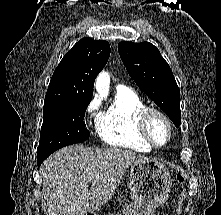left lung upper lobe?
I'll use <instances>...</instances> for the list:
<instances>
[{
	"label": "left lung upper lobe",
	"instance_id": "obj_1",
	"mask_svg": "<svg viewBox=\"0 0 221 215\" xmlns=\"http://www.w3.org/2000/svg\"><path fill=\"white\" fill-rule=\"evenodd\" d=\"M118 51L129 75L174 122L181 123L180 91L168 63L149 42L122 41Z\"/></svg>",
	"mask_w": 221,
	"mask_h": 215
}]
</instances>
